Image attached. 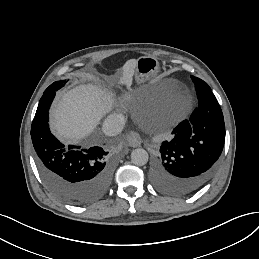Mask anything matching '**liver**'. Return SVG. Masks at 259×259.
I'll list each match as a JSON object with an SVG mask.
<instances>
[{
	"label": "liver",
	"mask_w": 259,
	"mask_h": 259,
	"mask_svg": "<svg viewBox=\"0 0 259 259\" xmlns=\"http://www.w3.org/2000/svg\"><path fill=\"white\" fill-rule=\"evenodd\" d=\"M137 61L123 68L120 82L131 86ZM113 94L92 84L79 85L67 92L50 110V128L61 141L78 143L88 137L112 108Z\"/></svg>",
	"instance_id": "6515ba94"
}]
</instances>
